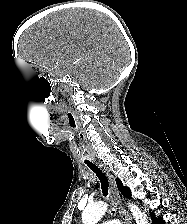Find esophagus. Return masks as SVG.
Segmentation results:
<instances>
[{
    "label": "esophagus",
    "mask_w": 187,
    "mask_h": 224,
    "mask_svg": "<svg viewBox=\"0 0 187 224\" xmlns=\"http://www.w3.org/2000/svg\"><path fill=\"white\" fill-rule=\"evenodd\" d=\"M98 165L108 178L109 191H110V195H111V199H112L114 207L118 210V213L120 214L121 218L124 220L125 224H132L131 216L128 214V212L122 205L114 176L111 174L109 169L106 168L103 164H98Z\"/></svg>",
    "instance_id": "1"
}]
</instances>
